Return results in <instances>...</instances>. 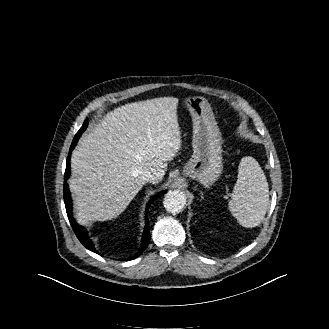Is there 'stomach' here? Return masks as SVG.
Returning a JSON list of instances; mask_svg holds the SVG:
<instances>
[{"instance_id":"stomach-1","label":"stomach","mask_w":329,"mask_h":329,"mask_svg":"<svg viewBox=\"0 0 329 329\" xmlns=\"http://www.w3.org/2000/svg\"><path fill=\"white\" fill-rule=\"evenodd\" d=\"M185 105L193 122V155L184 166L183 175L210 187L223 170L221 132L211 105L204 97H188Z\"/></svg>"}]
</instances>
